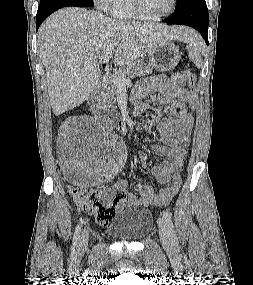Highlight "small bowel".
Masks as SVG:
<instances>
[{
    "mask_svg": "<svg viewBox=\"0 0 253 285\" xmlns=\"http://www.w3.org/2000/svg\"><path fill=\"white\" fill-rule=\"evenodd\" d=\"M154 92L161 93L157 105L168 107L172 119L161 121L156 127L161 144L153 145L152 149L163 155L165 161L154 166L151 172L158 183L170 182V184L158 191L146 184H136L135 189L139 196L133 193L127 194V204L130 206H162L171 201L180 187L179 172L186 157V148L190 143L194 119L186 112L185 103L191 98V94L184 88L183 76L180 74H174L169 78L155 76L138 81L131 94L136 114L153 109L152 105L143 102L142 99ZM64 151H68L67 145H64ZM63 159L65 161L66 157ZM140 159L146 166L144 154H140ZM126 186V181L119 180L115 183L114 188L125 190Z\"/></svg>",
    "mask_w": 253,
    "mask_h": 285,
    "instance_id": "1",
    "label": "small bowel"
}]
</instances>
